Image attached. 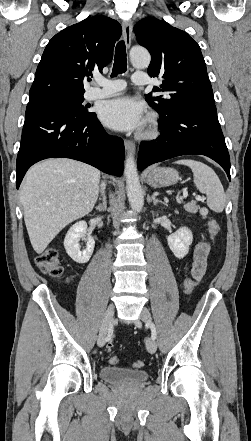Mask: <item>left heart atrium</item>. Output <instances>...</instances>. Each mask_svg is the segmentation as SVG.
Masks as SVG:
<instances>
[{
  "label": "left heart atrium",
  "mask_w": 251,
  "mask_h": 441,
  "mask_svg": "<svg viewBox=\"0 0 251 441\" xmlns=\"http://www.w3.org/2000/svg\"><path fill=\"white\" fill-rule=\"evenodd\" d=\"M143 103L129 96L103 102L99 108L100 119L109 127L121 131L140 129L144 124Z\"/></svg>",
  "instance_id": "obj_1"
}]
</instances>
